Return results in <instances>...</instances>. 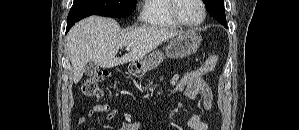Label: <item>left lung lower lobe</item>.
<instances>
[{"instance_id": "1", "label": "left lung lower lobe", "mask_w": 299, "mask_h": 130, "mask_svg": "<svg viewBox=\"0 0 299 130\" xmlns=\"http://www.w3.org/2000/svg\"><path fill=\"white\" fill-rule=\"evenodd\" d=\"M220 23V22H219ZM221 24H223L226 28H227V24L226 23H221Z\"/></svg>"}]
</instances>
